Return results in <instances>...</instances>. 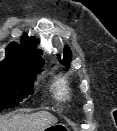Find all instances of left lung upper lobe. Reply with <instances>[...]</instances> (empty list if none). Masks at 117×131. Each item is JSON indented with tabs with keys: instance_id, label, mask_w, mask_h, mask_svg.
<instances>
[{
	"instance_id": "1",
	"label": "left lung upper lobe",
	"mask_w": 117,
	"mask_h": 131,
	"mask_svg": "<svg viewBox=\"0 0 117 131\" xmlns=\"http://www.w3.org/2000/svg\"><path fill=\"white\" fill-rule=\"evenodd\" d=\"M71 52L68 48L64 49V58L60 61L63 65L69 67L70 65Z\"/></svg>"
}]
</instances>
